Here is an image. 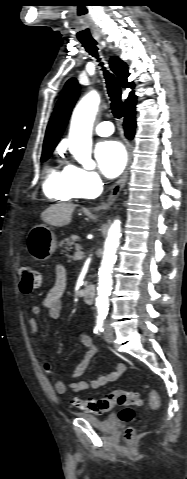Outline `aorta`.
I'll use <instances>...</instances> for the list:
<instances>
[{
	"label": "aorta",
	"mask_w": 187,
	"mask_h": 479,
	"mask_svg": "<svg viewBox=\"0 0 187 479\" xmlns=\"http://www.w3.org/2000/svg\"><path fill=\"white\" fill-rule=\"evenodd\" d=\"M100 103V97L96 91L89 92L74 109L70 131L69 150L75 159L85 169L95 168V162L91 159L92 151V127ZM121 237V222L115 220L111 225L104 246V254L98 275V296L96 306L99 314L108 313L109 296L112 289V269L116 262V250Z\"/></svg>",
	"instance_id": "obj_1"
}]
</instances>
